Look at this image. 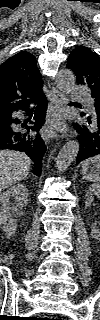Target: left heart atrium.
Instances as JSON below:
<instances>
[{"label": "left heart atrium", "mask_w": 100, "mask_h": 320, "mask_svg": "<svg viewBox=\"0 0 100 320\" xmlns=\"http://www.w3.org/2000/svg\"><path fill=\"white\" fill-rule=\"evenodd\" d=\"M53 125H54V127H61L62 126L61 118L55 117L53 120Z\"/></svg>", "instance_id": "1"}]
</instances>
